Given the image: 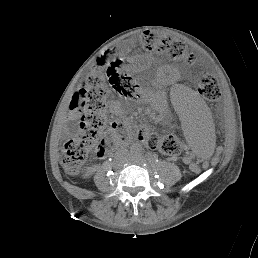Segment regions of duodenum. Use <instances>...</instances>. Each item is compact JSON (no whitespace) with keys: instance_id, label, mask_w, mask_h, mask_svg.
Segmentation results:
<instances>
[{"instance_id":"obj_1","label":"duodenum","mask_w":258,"mask_h":258,"mask_svg":"<svg viewBox=\"0 0 258 258\" xmlns=\"http://www.w3.org/2000/svg\"><path fill=\"white\" fill-rule=\"evenodd\" d=\"M118 146H119V144H118ZM123 147H124V144H121L119 149H122Z\"/></svg>"}]
</instances>
